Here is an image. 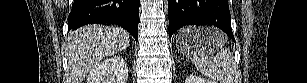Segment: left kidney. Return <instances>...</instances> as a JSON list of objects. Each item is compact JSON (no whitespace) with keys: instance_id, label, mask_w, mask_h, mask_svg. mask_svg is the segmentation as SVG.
<instances>
[{"instance_id":"left-kidney-1","label":"left kidney","mask_w":307,"mask_h":83,"mask_svg":"<svg viewBox=\"0 0 307 83\" xmlns=\"http://www.w3.org/2000/svg\"><path fill=\"white\" fill-rule=\"evenodd\" d=\"M185 83H214V82L199 76L190 75L185 79Z\"/></svg>"}]
</instances>
